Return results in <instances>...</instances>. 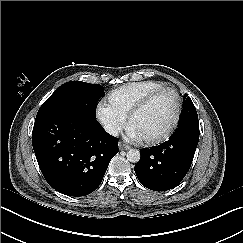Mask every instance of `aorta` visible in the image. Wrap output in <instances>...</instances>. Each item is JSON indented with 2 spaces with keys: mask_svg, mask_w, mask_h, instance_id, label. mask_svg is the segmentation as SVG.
I'll use <instances>...</instances> for the list:
<instances>
[{
  "mask_svg": "<svg viewBox=\"0 0 243 243\" xmlns=\"http://www.w3.org/2000/svg\"><path fill=\"white\" fill-rule=\"evenodd\" d=\"M127 160L137 163L140 160V152L137 149H129L126 154Z\"/></svg>",
  "mask_w": 243,
  "mask_h": 243,
  "instance_id": "762f6f07",
  "label": "aorta"
}]
</instances>
